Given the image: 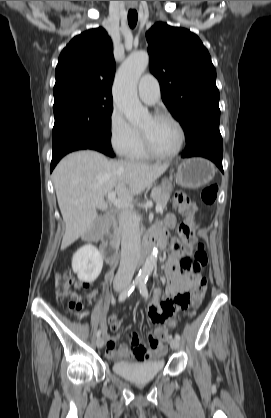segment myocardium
<instances>
[{"instance_id":"obj_1","label":"myocardium","mask_w":271,"mask_h":418,"mask_svg":"<svg viewBox=\"0 0 271 418\" xmlns=\"http://www.w3.org/2000/svg\"><path fill=\"white\" fill-rule=\"evenodd\" d=\"M153 119H168L170 120L178 129L179 132V144L178 147L171 153H159L157 152L153 146L151 145V142L148 138V135L145 131L141 130V136H142V141H143V145L144 148L146 150V152L148 153L149 156L157 158V159H171L174 158L175 156H177L183 149L184 144H185V140H186V134H185V130L182 126V124L170 113L168 112H163V111H158L152 114L151 116Z\"/></svg>"}]
</instances>
